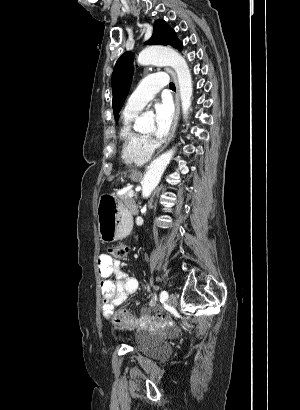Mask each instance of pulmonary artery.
Returning a JSON list of instances; mask_svg holds the SVG:
<instances>
[{
	"instance_id": "1",
	"label": "pulmonary artery",
	"mask_w": 300,
	"mask_h": 410,
	"mask_svg": "<svg viewBox=\"0 0 300 410\" xmlns=\"http://www.w3.org/2000/svg\"><path fill=\"white\" fill-rule=\"evenodd\" d=\"M167 84L168 78L165 73H155L145 77L137 90L128 98L125 111L139 112Z\"/></svg>"
}]
</instances>
